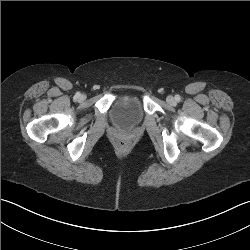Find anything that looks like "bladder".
<instances>
[{"label": "bladder", "mask_w": 250, "mask_h": 250, "mask_svg": "<svg viewBox=\"0 0 250 250\" xmlns=\"http://www.w3.org/2000/svg\"><path fill=\"white\" fill-rule=\"evenodd\" d=\"M111 115L114 123L121 128H132L138 125L144 112L139 98L121 97L113 104Z\"/></svg>", "instance_id": "31cf9c89"}]
</instances>
